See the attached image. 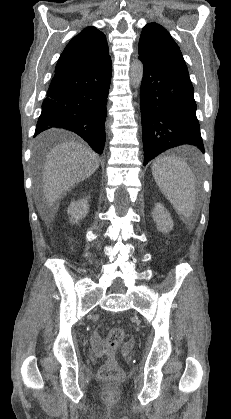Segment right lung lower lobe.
<instances>
[{
  "instance_id": "98d812e1",
  "label": "right lung lower lobe",
  "mask_w": 231,
  "mask_h": 419,
  "mask_svg": "<svg viewBox=\"0 0 231 419\" xmlns=\"http://www.w3.org/2000/svg\"><path fill=\"white\" fill-rule=\"evenodd\" d=\"M112 64L58 71L42 103L35 136L50 128H64L81 136L97 153L105 145L107 96Z\"/></svg>"
}]
</instances>
